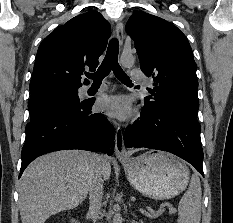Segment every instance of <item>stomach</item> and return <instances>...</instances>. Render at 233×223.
Segmentation results:
<instances>
[{
  "label": "stomach",
  "mask_w": 233,
  "mask_h": 223,
  "mask_svg": "<svg viewBox=\"0 0 233 223\" xmlns=\"http://www.w3.org/2000/svg\"><path fill=\"white\" fill-rule=\"evenodd\" d=\"M126 177L142 195L170 199L186 189L190 171L182 159L166 151H146L138 157L122 159Z\"/></svg>",
  "instance_id": "obj_1"
}]
</instances>
